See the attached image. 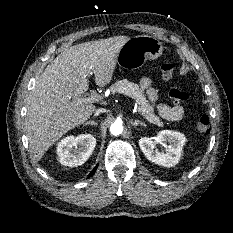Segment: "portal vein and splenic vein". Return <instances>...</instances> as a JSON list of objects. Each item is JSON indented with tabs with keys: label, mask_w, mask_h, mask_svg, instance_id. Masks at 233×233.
Listing matches in <instances>:
<instances>
[{
	"label": "portal vein and splenic vein",
	"mask_w": 233,
	"mask_h": 233,
	"mask_svg": "<svg viewBox=\"0 0 233 233\" xmlns=\"http://www.w3.org/2000/svg\"><path fill=\"white\" fill-rule=\"evenodd\" d=\"M90 74H92V72H90ZM102 99V95L97 94L95 91H91V93H89L87 97L78 98L77 103H95L101 101ZM135 107L137 108L138 112H140L139 107L137 105H135Z\"/></svg>",
	"instance_id": "1"
}]
</instances>
